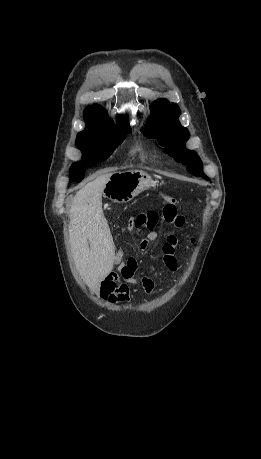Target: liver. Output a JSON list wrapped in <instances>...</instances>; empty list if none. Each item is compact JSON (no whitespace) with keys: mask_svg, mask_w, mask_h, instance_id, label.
Segmentation results:
<instances>
[{"mask_svg":"<svg viewBox=\"0 0 261 459\" xmlns=\"http://www.w3.org/2000/svg\"><path fill=\"white\" fill-rule=\"evenodd\" d=\"M111 170L99 172L74 196L69 236L75 265L88 287L99 292L112 271L115 246L102 210V194Z\"/></svg>","mask_w":261,"mask_h":459,"instance_id":"1","label":"liver"}]
</instances>
